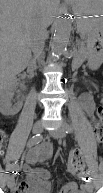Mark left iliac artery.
Masks as SVG:
<instances>
[{"mask_svg": "<svg viewBox=\"0 0 103 193\" xmlns=\"http://www.w3.org/2000/svg\"><path fill=\"white\" fill-rule=\"evenodd\" d=\"M64 129H65L66 133L72 132V127L67 123L64 124ZM87 177H88L87 182L92 183L94 178H93V175H92L90 170L87 171Z\"/></svg>", "mask_w": 103, "mask_h": 193, "instance_id": "1", "label": "left iliac artery"}]
</instances>
